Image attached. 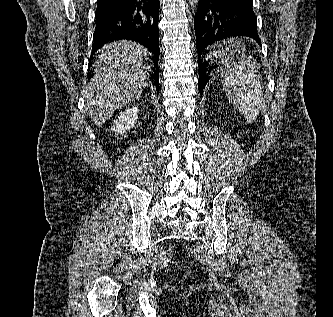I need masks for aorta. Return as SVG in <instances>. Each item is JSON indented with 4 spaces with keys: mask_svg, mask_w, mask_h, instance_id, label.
<instances>
[{
    "mask_svg": "<svg viewBox=\"0 0 333 317\" xmlns=\"http://www.w3.org/2000/svg\"><path fill=\"white\" fill-rule=\"evenodd\" d=\"M189 3L192 7H195L198 4V0H189Z\"/></svg>",
    "mask_w": 333,
    "mask_h": 317,
    "instance_id": "aorta-1",
    "label": "aorta"
}]
</instances>
